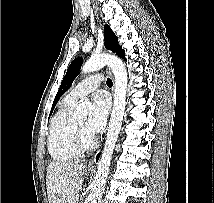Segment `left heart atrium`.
Wrapping results in <instances>:
<instances>
[{"label": "left heart atrium", "instance_id": "39dd6f15", "mask_svg": "<svg viewBox=\"0 0 214 203\" xmlns=\"http://www.w3.org/2000/svg\"><path fill=\"white\" fill-rule=\"evenodd\" d=\"M109 113V101L103 92L95 94L90 108L86 128L90 133L102 130Z\"/></svg>", "mask_w": 214, "mask_h": 203}]
</instances>
